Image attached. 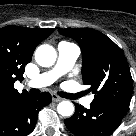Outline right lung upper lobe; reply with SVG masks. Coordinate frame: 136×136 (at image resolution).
Segmentation results:
<instances>
[{
  "label": "right lung upper lobe",
  "mask_w": 136,
  "mask_h": 136,
  "mask_svg": "<svg viewBox=\"0 0 136 136\" xmlns=\"http://www.w3.org/2000/svg\"><path fill=\"white\" fill-rule=\"evenodd\" d=\"M52 32L51 28L13 25L0 29V108L27 94L14 89V83L23 80L24 67L31 61L36 46Z\"/></svg>",
  "instance_id": "cb5924a9"
}]
</instances>
